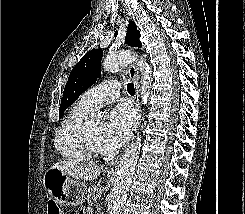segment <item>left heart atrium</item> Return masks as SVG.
Listing matches in <instances>:
<instances>
[{"mask_svg": "<svg viewBox=\"0 0 245 214\" xmlns=\"http://www.w3.org/2000/svg\"><path fill=\"white\" fill-rule=\"evenodd\" d=\"M134 125L131 110L120 106L110 112L97 133V142L101 150L107 153L118 151L128 140Z\"/></svg>", "mask_w": 245, "mask_h": 214, "instance_id": "obj_1", "label": "left heart atrium"}]
</instances>
